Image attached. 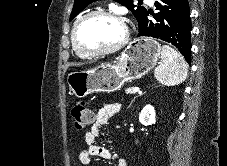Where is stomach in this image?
<instances>
[{
  "label": "stomach",
  "instance_id": "0dacf381",
  "mask_svg": "<svg viewBox=\"0 0 227 166\" xmlns=\"http://www.w3.org/2000/svg\"><path fill=\"white\" fill-rule=\"evenodd\" d=\"M160 54L161 46L157 41L149 38L134 40L113 63L68 73V87L77 98H84L91 93L117 91L124 83L151 71Z\"/></svg>",
  "mask_w": 227,
  "mask_h": 166
}]
</instances>
